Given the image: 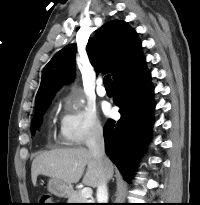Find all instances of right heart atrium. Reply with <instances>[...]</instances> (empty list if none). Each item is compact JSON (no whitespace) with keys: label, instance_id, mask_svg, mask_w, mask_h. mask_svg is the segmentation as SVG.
<instances>
[{"label":"right heart atrium","instance_id":"obj_1","mask_svg":"<svg viewBox=\"0 0 200 205\" xmlns=\"http://www.w3.org/2000/svg\"><path fill=\"white\" fill-rule=\"evenodd\" d=\"M102 124L96 113L79 101L66 99L62 104L59 140L65 145L79 146L100 137Z\"/></svg>","mask_w":200,"mask_h":205}]
</instances>
